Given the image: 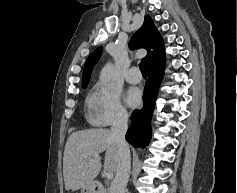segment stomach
<instances>
[{"instance_id":"stomach-1","label":"stomach","mask_w":237,"mask_h":193,"mask_svg":"<svg viewBox=\"0 0 237 193\" xmlns=\"http://www.w3.org/2000/svg\"><path fill=\"white\" fill-rule=\"evenodd\" d=\"M81 193H96L94 183H91L81 189Z\"/></svg>"}]
</instances>
